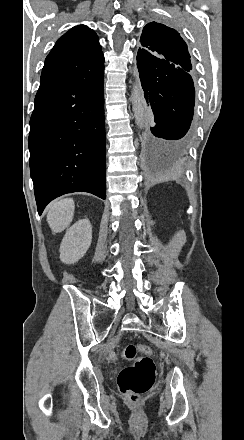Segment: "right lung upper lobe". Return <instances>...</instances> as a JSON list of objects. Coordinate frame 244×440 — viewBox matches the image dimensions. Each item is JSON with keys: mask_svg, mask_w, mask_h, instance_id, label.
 Returning <instances> with one entry per match:
<instances>
[{"mask_svg": "<svg viewBox=\"0 0 244 440\" xmlns=\"http://www.w3.org/2000/svg\"><path fill=\"white\" fill-rule=\"evenodd\" d=\"M104 63L96 33L87 26H75L58 39L47 56L41 79L68 71L91 69Z\"/></svg>", "mask_w": 244, "mask_h": 440, "instance_id": "1", "label": "right lung upper lobe"}]
</instances>
